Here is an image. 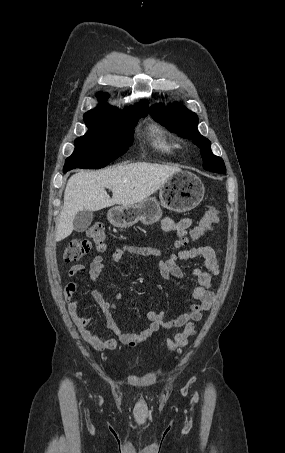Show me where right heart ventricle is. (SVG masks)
<instances>
[{"mask_svg": "<svg viewBox=\"0 0 285 453\" xmlns=\"http://www.w3.org/2000/svg\"><path fill=\"white\" fill-rule=\"evenodd\" d=\"M149 135L153 147L162 152L173 153L180 148V145L174 139L156 125L150 127Z\"/></svg>", "mask_w": 285, "mask_h": 453, "instance_id": "e07e8e85", "label": "right heart ventricle"}]
</instances>
